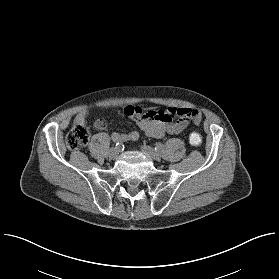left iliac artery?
I'll return each mask as SVG.
<instances>
[{
  "instance_id": "1",
  "label": "left iliac artery",
  "mask_w": 279,
  "mask_h": 279,
  "mask_svg": "<svg viewBox=\"0 0 279 279\" xmlns=\"http://www.w3.org/2000/svg\"><path fill=\"white\" fill-rule=\"evenodd\" d=\"M155 150L157 151H163L164 150V145L162 143H157Z\"/></svg>"
}]
</instances>
